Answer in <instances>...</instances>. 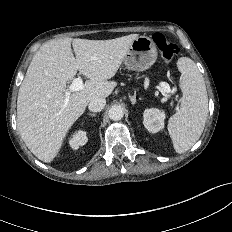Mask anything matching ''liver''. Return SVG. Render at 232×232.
I'll return each mask as SVG.
<instances>
[{"label": "liver", "mask_w": 232, "mask_h": 232, "mask_svg": "<svg viewBox=\"0 0 232 232\" xmlns=\"http://www.w3.org/2000/svg\"><path fill=\"white\" fill-rule=\"evenodd\" d=\"M138 34L108 39H54L33 56L17 98V126L28 149L49 163L57 156L71 126L88 103L108 97L115 76ZM75 57L72 53V48ZM77 71L88 78L64 106L66 83Z\"/></svg>", "instance_id": "1"}]
</instances>
